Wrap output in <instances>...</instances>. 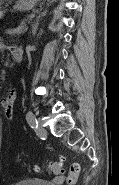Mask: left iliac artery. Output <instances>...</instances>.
Returning a JSON list of instances; mask_svg holds the SVG:
<instances>
[{
  "label": "left iliac artery",
  "mask_w": 119,
  "mask_h": 185,
  "mask_svg": "<svg viewBox=\"0 0 119 185\" xmlns=\"http://www.w3.org/2000/svg\"><path fill=\"white\" fill-rule=\"evenodd\" d=\"M26 120H27L28 124L31 126V128H37L38 121H37L35 115L33 114V112L29 111L26 114Z\"/></svg>",
  "instance_id": "obj_1"
}]
</instances>
